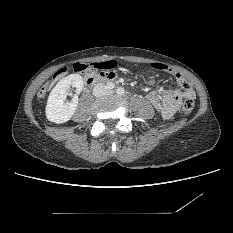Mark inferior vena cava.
<instances>
[{
    "mask_svg": "<svg viewBox=\"0 0 233 233\" xmlns=\"http://www.w3.org/2000/svg\"><path fill=\"white\" fill-rule=\"evenodd\" d=\"M106 93H107V89L103 83L96 84L93 88V95L95 97H101Z\"/></svg>",
    "mask_w": 233,
    "mask_h": 233,
    "instance_id": "1",
    "label": "inferior vena cava"
}]
</instances>
